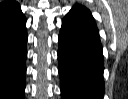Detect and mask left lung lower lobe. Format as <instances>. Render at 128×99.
Instances as JSON below:
<instances>
[{
	"mask_svg": "<svg viewBox=\"0 0 128 99\" xmlns=\"http://www.w3.org/2000/svg\"><path fill=\"white\" fill-rule=\"evenodd\" d=\"M58 60L62 99H103L102 45L94 18L82 5L63 18Z\"/></svg>",
	"mask_w": 128,
	"mask_h": 99,
	"instance_id": "obj_1",
	"label": "left lung lower lobe"
}]
</instances>
